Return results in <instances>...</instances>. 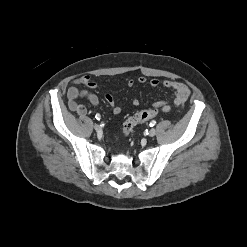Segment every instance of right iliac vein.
Instances as JSON below:
<instances>
[{"mask_svg":"<svg viewBox=\"0 0 247 247\" xmlns=\"http://www.w3.org/2000/svg\"><path fill=\"white\" fill-rule=\"evenodd\" d=\"M94 129L96 130V132H100L101 131V127L98 124L94 125Z\"/></svg>","mask_w":247,"mask_h":247,"instance_id":"63e3f726","label":"right iliac vein"}]
</instances>
